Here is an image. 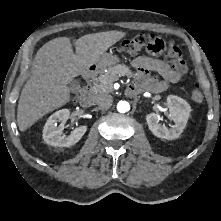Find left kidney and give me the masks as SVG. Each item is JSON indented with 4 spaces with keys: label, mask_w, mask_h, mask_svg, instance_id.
I'll return each instance as SVG.
<instances>
[{
    "label": "left kidney",
    "mask_w": 221,
    "mask_h": 221,
    "mask_svg": "<svg viewBox=\"0 0 221 221\" xmlns=\"http://www.w3.org/2000/svg\"><path fill=\"white\" fill-rule=\"evenodd\" d=\"M170 117L175 125L167 128L165 125L159 124L160 116L156 113H150L146 116V121L150 131L158 138L172 140L176 139L183 132L188 118L190 116L191 107L182 98L174 95L167 97Z\"/></svg>",
    "instance_id": "5707ae66"
}]
</instances>
